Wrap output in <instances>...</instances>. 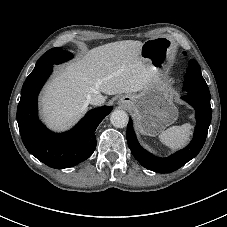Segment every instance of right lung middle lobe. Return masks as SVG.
Wrapping results in <instances>:
<instances>
[{"label": "right lung middle lobe", "instance_id": "dd1d6c3e", "mask_svg": "<svg viewBox=\"0 0 227 227\" xmlns=\"http://www.w3.org/2000/svg\"><path fill=\"white\" fill-rule=\"evenodd\" d=\"M73 57L72 53L62 51L61 48H53L44 53L37 61L34 70L29 76L41 71L42 69L70 60Z\"/></svg>", "mask_w": 227, "mask_h": 227}]
</instances>
